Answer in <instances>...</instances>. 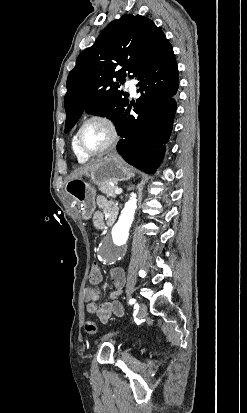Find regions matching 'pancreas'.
Listing matches in <instances>:
<instances>
[{
  "instance_id": "1",
  "label": "pancreas",
  "mask_w": 247,
  "mask_h": 413,
  "mask_svg": "<svg viewBox=\"0 0 247 413\" xmlns=\"http://www.w3.org/2000/svg\"><path fill=\"white\" fill-rule=\"evenodd\" d=\"M115 188L116 186H112V184H108V182H106V184H99V190L104 192V194H108V196H113V198L116 196V194H114Z\"/></svg>"
}]
</instances>
